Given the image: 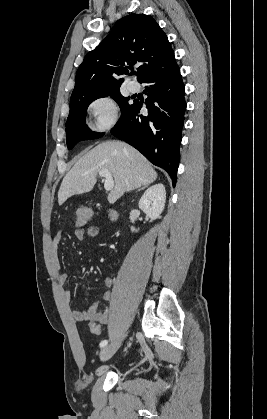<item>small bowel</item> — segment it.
Instances as JSON below:
<instances>
[{
    "label": "small bowel",
    "instance_id": "c3829d8e",
    "mask_svg": "<svg viewBox=\"0 0 267 419\" xmlns=\"http://www.w3.org/2000/svg\"><path fill=\"white\" fill-rule=\"evenodd\" d=\"M72 235L80 240H87L89 238H93L98 236L101 233V230L99 227L96 226H76L75 229L71 231ZM67 234V230H61L59 231L52 239V252H53V263H54V269L58 273V281L60 284L64 285L68 281V274L67 273H61L60 272V263L58 258V245L62 238ZM114 284V281L112 278L107 277L104 279V285L107 288H112ZM66 300L71 299V292L69 290H65L63 293ZM112 296V293L110 290H107L103 293L101 301H110ZM73 318L78 322H85V321H92L97 322L99 324H106L109 320V310L106 307H101L100 302H97L90 307H88L86 310H74L72 312Z\"/></svg>",
    "mask_w": 267,
    "mask_h": 419
}]
</instances>
